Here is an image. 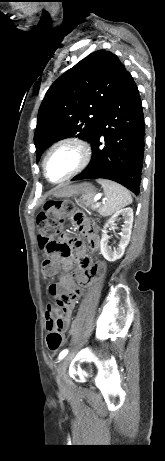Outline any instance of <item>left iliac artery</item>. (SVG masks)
Listing matches in <instances>:
<instances>
[{"label":"left iliac artery","instance_id":"1","mask_svg":"<svg viewBox=\"0 0 165 461\" xmlns=\"http://www.w3.org/2000/svg\"><path fill=\"white\" fill-rule=\"evenodd\" d=\"M67 353H68V350H67V349L63 350V351L59 354V358H60V359L64 358V357L67 355Z\"/></svg>","mask_w":165,"mask_h":461}]
</instances>
